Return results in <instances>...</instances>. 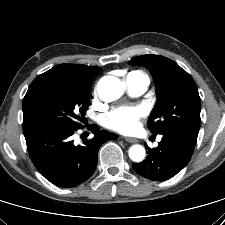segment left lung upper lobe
<instances>
[{"instance_id": "obj_1", "label": "left lung upper lobe", "mask_w": 225, "mask_h": 225, "mask_svg": "<svg viewBox=\"0 0 225 225\" xmlns=\"http://www.w3.org/2000/svg\"><path fill=\"white\" fill-rule=\"evenodd\" d=\"M129 64L146 67L155 81L158 101L148 119L151 133L173 131L197 137L201 102L192 77L176 62L159 55L139 56Z\"/></svg>"}]
</instances>
